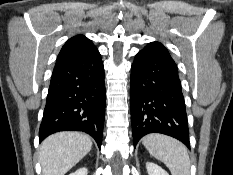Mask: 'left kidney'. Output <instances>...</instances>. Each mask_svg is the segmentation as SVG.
<instances>
[{
	"instance_id": "5707ae66",
	"label": "left kidney",
	"mask_w": 233,
	"mask_h": 175,
	"mask_svg": "<svg viewBox=\"0 0 233 175\" xmlns=\"http://www.w3.org/2000/svg\"><path fill=\"white\" fill-rule=\"evenodd\" d=\"M148 175H169L164 169L152 162L146 163Z\"/></svg>"
}]
</instances>
